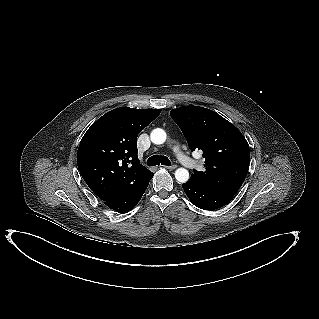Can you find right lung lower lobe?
<instances>
[{"instance_id": "98d812e1", "label": "right lung lower lobe", "mask_w": 319, "mask_h": 319, "mask_svg": "<svg viewBox=\"0 0 319 319\" xmlns=\"http://www.w3.org/2000/svg\"><path fill=\"white\" fill-rule=\"evenodd\" d=\"M152 177L153 173L148 171L140 180L104 201V204L119 213L132 210L141 199Z\"/></svg>"}]
</instances>
